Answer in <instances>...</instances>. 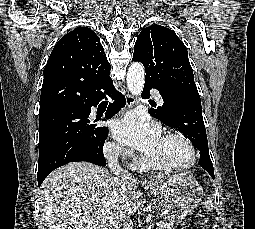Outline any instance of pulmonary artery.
<instances>
[{"label": "pulmonary artery", "mask_w": 255, "mask_h": 229, "mask_svg": "<svg viewBox=\"0 0 255 229\" xmlns=\"http://www.w3.org/2000/svg\"><path fill=\"white\" fill-rule=\"evenodd\" d=\"M151 92H152L153 97L156 99V101L159 104H163V99L160 96L159 92L156 89H152Z\"/></svg>", "instance_id": "e3ab8cb5"}]
</instances>
